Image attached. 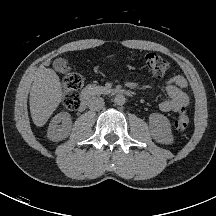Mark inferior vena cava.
Here are the masks:
<instances>
[{
  "label": "inferior vena cava",
  "instance_id": "602c4592",
  "mask_svg": "<svg viewBox=\"0 0 216 216\" xmlns=\"http://www.w3.org/2000/svg\"><path fill=\"white\" fill-rule=\"evenodd\" d=\"M104 104H105L104 99L101 97H92L88 101V107L91 110H95V111L101 110Z\"/></svg>",
  "mask_w": 216,
  "mask_h": 216
}]
</instances>
